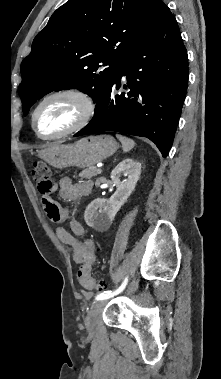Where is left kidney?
I'll use <instances>...</instances> for the list:
<instances>
[{
  "label": "left kidney",
  "instance_id": "1",
  "mask_svg": "<svg viewBox=\"0 0 221 379\" xmlns=\"http://www.w3.org/2000/svg\"><path fill=\"white\" fill-rule=\"evenodd\" d=\"M141 173V164L127 158L121 161L111 172L116 192L109 200L95 199L86 208L85 222L93 228H103L112 223L120 208L134 190ZM121 176L126 177L121 181Z\"/></svg>",
  "mask_w": 221,
  "mask_h": 379
}]
</instances>
